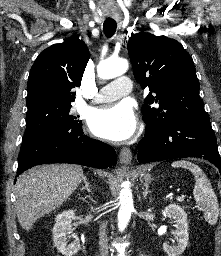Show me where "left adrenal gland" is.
Returning <instances> with one entry per match:
<instances>
[{
  "label": "left adrenal gland",
  "mask_w": 221,
  "mask_h": 256,
  "mask_svg": "<svg viewBox=\"0 0 221 256\" xmlns=\"http://www.w3.org/2000/svg\"><path fill=\"white\" fill-rule=\"evenodd\" d=\"M144 187H145V188H144V191H143V198L146 199V198H147V195H148V194H151L152 191L149 190L148 183H145V184H144Z\"/></svg>",
  "instance_id": "left-adrenal-gland-1"
}]
</instances>
